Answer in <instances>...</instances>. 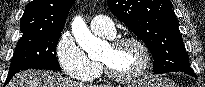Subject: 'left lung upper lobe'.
I'll list each match as a JSON object with an SVG mask.
<instances>
[{
	"label": "left lung upper lobe",
	"mask_w": 205,
	"mask_h": 87,
	"mask_svg": "<svg viewBox=\"0 0 205 87\" xmlns=\"http://www.w3.org/2000/svg\"><path fill=\"white\" fill-rule=\"evenodd\" d=\"M110 11L139 37L154 59V73L191 69L170 0H107Z\"/></svg>",
	"instance_id": "5c2ea615"
}]
</instances>
